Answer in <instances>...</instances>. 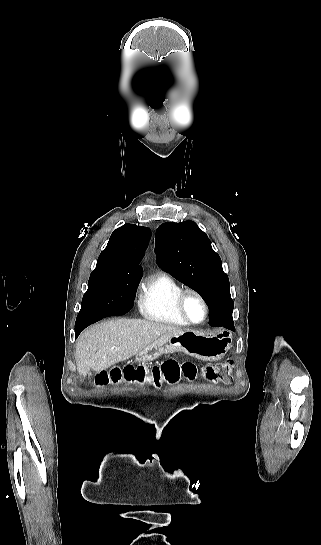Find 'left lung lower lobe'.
<instances>
[{"instance_id": "0a47b994", "label": "left lung lower lobe", "mask_w": 321, "mask_h": 545, "mask_svg": "<svg viewBox=\"0 0 321 545\" xmlns=\"http://www.w3.org/2000/svg\"><path fill=\"white\" fill-rule=\"evenodd\" d=\"M209 324L211 326L220 327L223 326L230 330H235L232 316L225 315L221 312L209 310Z\"/></svg>"}]
</instances>
